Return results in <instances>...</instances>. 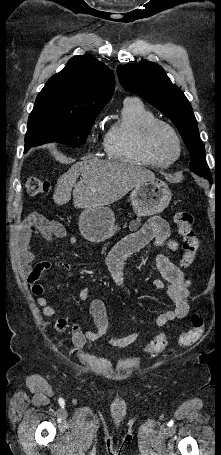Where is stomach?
I'll use <instances>...</instances> for the list:
<instances>
[{
	"label": "stomach",
	"mask_w": 221,
	"mask_h": 455,
	"mask_svg": "<svg viewBox=\"0 0 221 455\" xmlns=\"http://www.w3.org/2000/svg\"><path fill=\"white\" fill-rule=\"evenodd\" d=\"M172 193L168 185L156 178L146 179L136 185L130 199L135 214L151 216L162 212L170 203ZM113 211L107 206L86 208L79 217V230L93 243L111 238L117 231Z\"/></svg>",
	"instance_id": "stomach-1"
}]
</instances>
